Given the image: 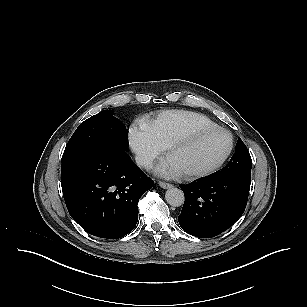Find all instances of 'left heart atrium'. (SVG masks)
<instances>
[{"label": "left heart atrium", "mask_w": 307, "mask_h": 307, "mask_svg": "<svg viewBox=\"0 0 307 307\" xmlns=\"http://www.w3.org/2000/svg\"><path fill=\"white\" fill-rule=\"evenodd\" d=\"M154 173L165 178L180 176V172L173 165L169 157L162 158L154 169Z\"/></svg>", "instance_id": "1"}]
</instances>
